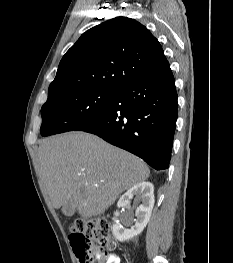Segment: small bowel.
<instances>
[{
    "mask_svg": "<svg viewBox=\"0 0 233 263\" xmlns=\"http://www.w3.org/2000/svg\"><path fill=\"white\" fill-rule=\"evenodd\" d=\"M105 263H120V258L116 254H109Z\"/></svg>",
    "mask_w": 233,
    "mask_h": 263,
    "instance_id": "small-bowel-1",
    "label": "small bowel"
}]
</instances>
